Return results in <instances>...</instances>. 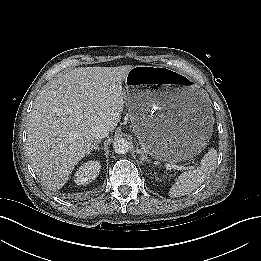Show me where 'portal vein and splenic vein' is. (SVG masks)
<instances>
[{
	"mask_svg": "<svg viewBox=\"0 0 261 261\" xmlns=\"http://www.w3.org/2000/svg\"><path fill=\"white\" fill-rule=\"evenodd\" d=\"M167 168H169V169L174 168V169H177V170H192V169H194L193 166L185 167V166H179V165H173V164H167Z\"/></svg>",
	"mask_w": 261,
	"mask_h": 261,
	"instance_id": "obj_1",
	"label": "portal vein and splenic vein"
}]
</instances>
